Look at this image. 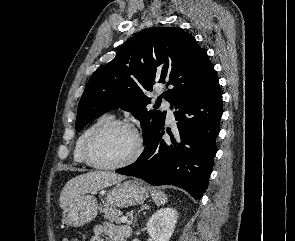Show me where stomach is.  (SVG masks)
<instances>
[{
  "mask_svg": "<svg viewBox=\"0 0 295 241\" xmlns=\"http://www.w3.org/2000/svg\"><path fill=\"white\" fill-rule=\"evenodd\" d=\"M148 197V189L139 180H125L115 184L106 194V205L124 208L143 203ZM99 210L97 200L92 195H82L63 211V221L68 226L81 227L93 221Z\"/></svg>",
  "mask_w": 295,
  "mask_h": 241,
  "instance_id": "obj_1",
  "label": "stomach"
}]
</instances>
